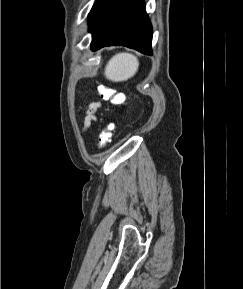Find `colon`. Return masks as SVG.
<instances>
[{"instance_id": "5ec220e1", "label": "colon", "mask_w": 243, "mask_h": 289, "mask_svg": "<svg viewBox=\"0 0 243 289\" xmlns=\"http://www.w3.org/2000/svg\"><path fill=\"white\" fill-rule=\"evenodd\" d=\"M98 93L103 100L108 101L113 105L121 104L124 99L122 93L116 92L114 89L104 85L98 86ZM113 129L114 125L112 123H108L104 126L99 136L100 148H103L110 142L113 134Z\"/></svg>"}]
</instances>
